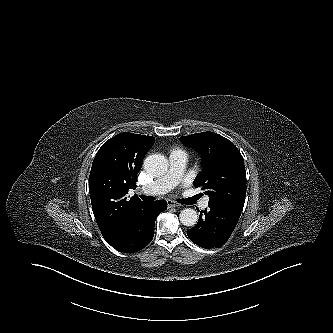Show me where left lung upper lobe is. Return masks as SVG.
<instances>
[{
	"label": "left lung upper lobe",
	"mask_w": 333,
	"mask_h": 333,
	"mask_svg": "<svg viewBox=\"0 0 333 333\" xmlns=\"http://www.w3.org/2000/svg\"><path fill=\"white\" fill-rule=\"evenodd\" d=\"M202 156L203 171L194 181L209 196V203L241 215L246 196V171L238 148L225 137L213 132L180 137Z\"/></svg>",
	"instance_id": "obj_1"
}]
</instances>
